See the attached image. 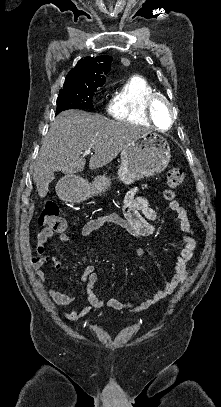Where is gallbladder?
<instances>
[{
  "label": "gallbladder",
  "mask_w": 221,
  "mask_h": 407,
  "mask_svg": "<svg viewBox=\"0 0 221 407\" xmlns=\"http://www.w3.org/2000/svg\"><path fill=\"white\" fill-rule=\"evenodd\" d=\"M54 179V173L44 175L42 179L37 182V189L39 193H45L49 183Z\"/></svg>",
  "instance_id": "bac80fb5"
}]
</instances>
